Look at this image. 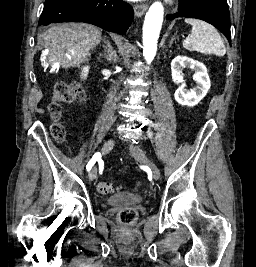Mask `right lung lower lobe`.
I'll use <instances>...</instances> for the list:
<instances>
[{
  "label": "right lung lower lobe",
  "mask_w": 256,
  "mask_h": 267,
  "mask_svg": "<svg viewBox=\"0 0 256 267\" xmlns=\"http://www.w3.org/2000/svg\"><path fill=\"white\" fill-rule=\"evenodd\" d=\"M132 19V7L122 0H53L45 4L39 25L84 22L124 34Z\"/></svg>",
  "instance_id": "right-lung-lower-lobe-1"
}]
</instances>
